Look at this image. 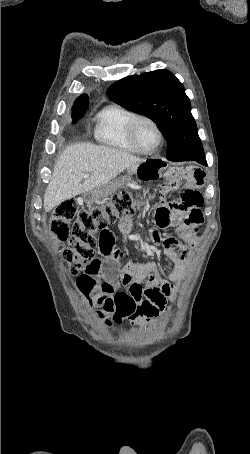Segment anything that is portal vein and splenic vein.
<instances>
[{
    "label": "portal vein and splenic vein",
    "mask_w": 250,
    "mask_h": 454,
    "mask_svg": "<svg viewBox=\"0 0 250 454\" xmlns=\"http://www.w3.org/2000/svg\"><path fill=\"white\" fill-rule=\"evenodd\" d=\"M88 177H89V174H85V175H84V178H88Z\"/></svg>",
    "instance_id": "obj_1"
}]
</instances>
